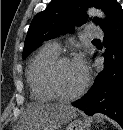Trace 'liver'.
<instances>
[{
    "label": "liver",
    "mask_w": 123,
    "mask_h": 130,
    "mask_svg": "<svg viewBox=\"0 0 123 130\" xmlns=\"http://www.w3.org/2000/svg\"><path fill=\"white\" fill-rule=\"evenodd\" d=\"M76 109L63 104L36 103L28 105L19 130H57L76 117Z\"/></svg>",
    "instance_id": "obj_1"
}]
</instances>
